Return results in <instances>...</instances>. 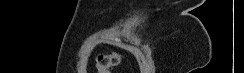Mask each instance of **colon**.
I'll list each match as a JSON object with an SVG mask.
<instances>
[{
	"mask_svg": "<svg viewBox=\"0 0 244 73\" xmlns=\"http://www.w3.org/2000/svg\"><path fill=\"white\" fill-rule=\"evenodd\" d=\"M122 62L121 55L116 51L99 54L97 56L98 73H112L114 68Z\"/></svg>",
	"mask_w": 244,
	"mask_h": 73,
	"instance_id": "1",
	"label": "colon"
}]
</instances>
